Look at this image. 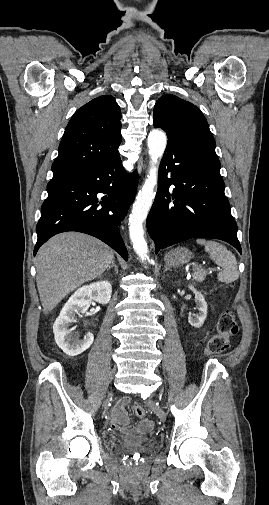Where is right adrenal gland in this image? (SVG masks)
<instances>
[{
	"label": "right adrenal gland",
	"instance_id": "1",
	"mask_svg": "<svg viewBox=\"0 0 269 505\" xmlns=\"http://www.w3.org/2000/svg\"><path fill=\"white\" fill-rule=\"evenodd\" d=\"M115 268L116 274H118V266L115 264V261L113 260L111 265L108 267L107 271H109L111 268Z\"/></svg>",
	"mask_w": 269,
	"mask_h": 505
}]
</instances>
